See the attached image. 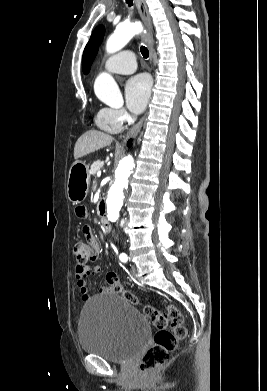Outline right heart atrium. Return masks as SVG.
<instances>
[{
	"instance_id": "1",
	"label": "right heart atrium",
	"mask_w": 267,
	"mask_h": 391,
	"mask_svg": "<svg viewBox=\"0 0 267 391\" xmlns=\"http://www.w3.org/2000/svg\"><path fill=\"white\" fill-rule=\"evenodd\" d=\"M104 111L106 117L119 127L123 126L130 119L127 111L121 108H105Z\"/></svg>"
}]
</instances>
